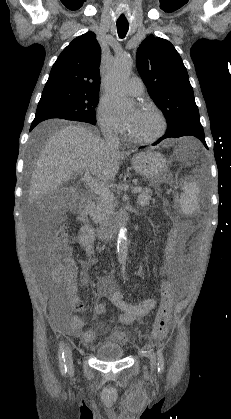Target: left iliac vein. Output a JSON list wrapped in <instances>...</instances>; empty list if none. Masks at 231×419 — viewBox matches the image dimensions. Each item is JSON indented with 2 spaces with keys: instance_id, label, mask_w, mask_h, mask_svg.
Here are the masks:
<instances>
[{
  "instance_id": "4c4485c4",
  "label": "left iliac vein",
  "mask_w": 231,
  "mask_h": 419,
  "mask_svg": "<svg viewBox=\"0 0 231 419\" xmlns=\"http://www.w3.org/2000/svg\"><path fill=\"white\" fill-rule=\"evenodd\" d=\"M149 358H150V364H151V368L154 369L155 365H156V356L155 354L152 352L149 354Z\"/></svg>"
}]
</instances>
